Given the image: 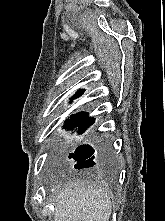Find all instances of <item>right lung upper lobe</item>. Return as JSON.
<instances>
[{
	"label": "right lung upper lobe",
	"mask_w": 165,
	"mask_h": 221,
	"mask_svg": "<svg viewBox=\"0 0 165 221\" xmlns=\"http://www.w3.org/2000/svg\"><path fill=\"white\" fill-rule=\"evenodd\" d=\"M82 93H83V90H78L77 94L72 99L79 97ZM79 114H88V113L87 112H79Z\"/></svg>",
	"instance_id": "obj_1"
}]
</instances>
